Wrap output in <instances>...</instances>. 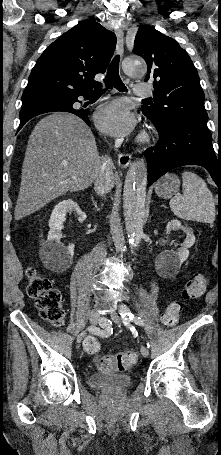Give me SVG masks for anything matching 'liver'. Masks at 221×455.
Wrapping results in <instances>:
<instances>
[{
  "instance_id": "obj_1",
  "label": "liver",
  "mask_w": 221,
  "mask_h": 455,
  "mask_svg": "<svg viewBox=\"0 0 221 455\" xmlns=\"http://www.w3.org/2000/svg\"><path fill=\"white\" fill-rule=\"evenodd\" d=\"M101 165L95 138L82 119L69 113L41 119L28 140L15 219L33 214L68 191L88 188ZM114 180L113 175V184Z\"/></svg>"
}]
</instances>
